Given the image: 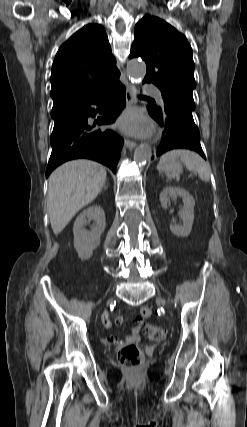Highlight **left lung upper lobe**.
I'll return each instance as SVG.
<instances>
[{"mask_svg":"<svg viewBox=\"0 0 247 427\" xmlns=\"http://www.w3.org/2000/svg\"><path fill=\"white\" fill-rule=\"evenodd\" d=\"M129 57H141L146 62L144 82L160 89L164 103L189 112L195 109L192 48L183 34L164 20L145 15L135 26Z\"/></svg>","mask_w":247,"mask_h":427,"instance_id":"obj_1","label":"left lung upper lobe"}]
</instances>
